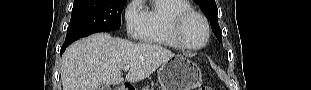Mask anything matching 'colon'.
I'll list each match as a JSON object with an SVG mask.
<instances>
[{
  "instance_id": "5ec220e1",
  "label": "colon",
  "mask_w": 311,
  "mask_h": 90,
  "mask_svg": "<svg viewBox=\"0 0 311 90\" xmlns=\"http://www.w3.org/2000/svg\"><path fill=\"white\" fill-rule=\"evenodd\" d=\"M199 90H212V88L203 86V87H200Z\"/></svg>"
}]
</instances>
